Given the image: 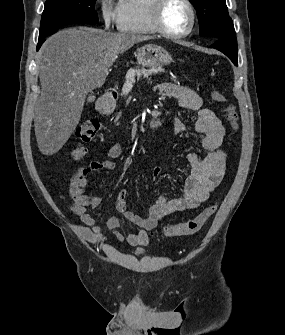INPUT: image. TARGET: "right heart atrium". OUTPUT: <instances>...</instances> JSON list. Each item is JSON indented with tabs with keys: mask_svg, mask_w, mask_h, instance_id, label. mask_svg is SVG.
<instances>
[{
	"mask_svg": "<svg viewBox=\"0 0 285 335\" xmlns=\"http://www.w3.org/2000/svg\"><path fill=\"white\" fill-rule=\"evenodd\" d=\"M101 18L106 28L121 22L120 7L113 1H103L100 7Z\"/></svg>",
	"mask_w": 285,
	"mask_h": 335,
	"instance_id": "d8ad5b80",
	"label": "right heart atrium"
}]
</instances>
